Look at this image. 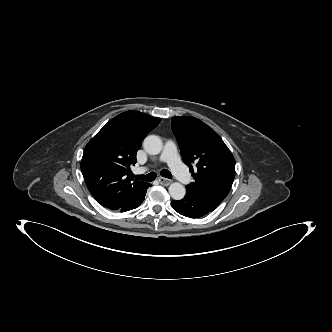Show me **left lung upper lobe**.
<instances>
[{
    "mask_svg": "<svg viewBox=\"0 0 332 332\" xmlns=\"http://www.w3.org/2000/svg\"><path fill=\"white\" fill-rule=\"evenodd\" d=\"M184 162L194 182L186 191L217 207L228 195L235 176V159L221 137L197 118L171 120ZM196 163L193 169L192 164Z\"/></svg>",
    "mask_w": 332,
    "mask_h": 332,
    "instance_id": "1",
    "label": "left lung upper lobe"
}]
</instances>
